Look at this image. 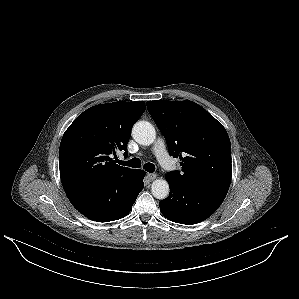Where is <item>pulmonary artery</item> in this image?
<instances>
[{"mask_svg": "<svg viewBox=\"0 0 299 299\" xmlns=\"http://www.w3.org/2000/svg\"><path fill=\"white\" fill-rule=\"evenodd\" d=\"M152 151L154 155L156 156L157 160L161 164L162 167H164L166 170H172L174 167V164L169 157L165 143L161 138H158L152 148Z\"/></svg>", "mask_w": 299, "mask_h": 299, "instance_id": "e3ab8cb5", "label": "pulmonary artery"}]
</instances>
